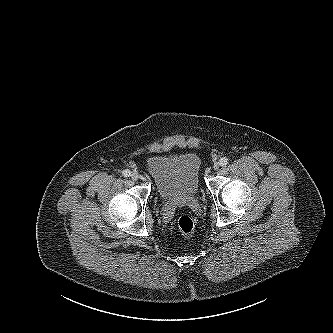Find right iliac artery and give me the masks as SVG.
Instances as JSON below:
<instances>
[{
  "label": "right iliac artery",
  "mask_w": 333,
  "mask_h": 333,
  "mask_svg": "<svg viewBox=\"0 0 333 333\" xmlns=\"http://www.w3.org/2000/svg\"><path fill=\"white\" fill-rule=\"evenodd\" d=\"M122 174L124 177H129L131 175V172H130V170L126 169L122 172Z\"/></svg>",
  "instance_id": "right-iliac-artery-1"
}]
</instances>
